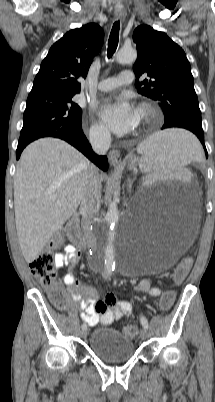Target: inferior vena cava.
<instances>
[{
    "mask_svg": "<svg viewBox=\"0 0 215 402\" xmlns=\"http://www.w3.org/2000/svg\"><path fill=\"white\" fill-rule=\"evenodd\" d=\"M90 143L97 154L104 155L110 147L111 134L107 129H100L90 136ZM100 198L101 181L98 175V170L95 166H91L86 178V186L81 200L80 213L82 215L84 239L87 242L88 248L93 251H96L97 249L96 234L99 232V227L95 223V218L100 208Z\"/></svg>",
    "mask_w": 215,
    "mask_h": 402,
    "instance_id": "602c4592",
    "label": "inferior vena cava"
}]
</instances>
